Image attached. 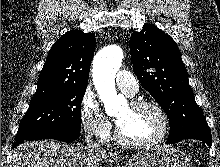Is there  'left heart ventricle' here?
Masks as SVG:
<instances>
[{"instance_id": "1", "label": "left heart ventricle", "mask_w": 220, "mask_h": 167, "mask_svg": "<svg viewBox=\"0 0 220 167\" xmlns=\"http://www.w3.org/2000/svg\"><path fill=\"white\" fill-rule=\"evenodd\" d=\"M118 125L123 135L133 141H143L158 135L161 118L152 108L123 107L117 114Z\"/></svg>"}]
</instances>
